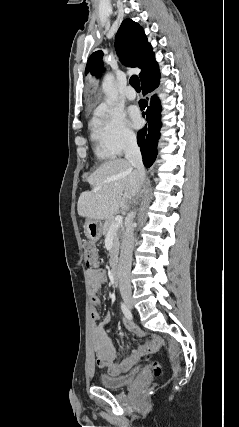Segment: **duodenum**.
I'll return each instance as SVG.
<instances>
[{
	"label": "duodenum",
	"instance_id": "obj_1",
	"mask_svg": "<svg viewBox=\"0 0 239 427\" xmlns=\"http://www.w3.org/2000/svg\"><path fill=\"white\" fill-rule=\"evenodd\" d=\"M111 275H112L113 281L115 283L118 282V280L120 278V267H119V264L117 262H114L112 265Z\"/></svg>",
	"mask_w": 239,
	"mask_h": 427
}]
</instances>
